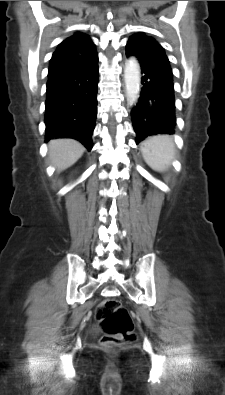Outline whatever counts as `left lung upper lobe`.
I'll return each instance as SVG.
<instances>
[{"mask_svg": "<svg viewBox=\"0 0 225 395\" xmlns=\"http://www.w3.org/2000/svg\"><path fill=\"white\" fill-rule=\"evenodd\" d=\"M126 51L135 56L140 64L160 63L170 66L164 48L152 37L145 33H136L129 38Z\"/></svg>", "mask_w": 225, "mask_h": 395, "instance_id": "left-lung-upper-lobe-1", "label": "left lung upper lobe"}]
</instances>
